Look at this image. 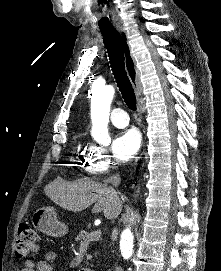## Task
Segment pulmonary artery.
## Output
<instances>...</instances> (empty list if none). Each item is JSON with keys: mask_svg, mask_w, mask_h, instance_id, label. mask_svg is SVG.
<instances>
[{"mask_svg": "<svg viewBox=\"0 0 221 271\" xmlns=\"http://www.w3.org/2000/svg\"><path fill=\"white\" fill-rule=\"evenodd\" d=\"M110 116L112 117V126H117L118 128H124L129 125V117L126 112H111Z\"/></svg>", "mask_w": 221, "mask_h": 271, "instance_id": "obj_1", "label": "pulmonary artery"}]
</instances>
